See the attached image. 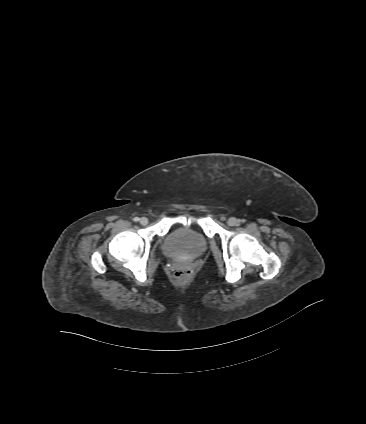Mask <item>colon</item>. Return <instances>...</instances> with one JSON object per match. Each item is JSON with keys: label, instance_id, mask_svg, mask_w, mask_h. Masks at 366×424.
I'll list each match as a JSON object with an SVG mask.
<instances>
[{"label": "colon", "instance_id": "5ec220e1", "mask_svg": "<svg viewBox=\"0 0 366 424\" xmlns=\"http://www.w3.org/2000/svg\"><path fill=\"white\" fill-rule=\"evenodd\" d=\"M190 274H191L190 269L184 266H178L174 269V275L179 280L188 279Z\"/></svg>", "mask_w": 366, "mask_h": 424}]
</instances>
